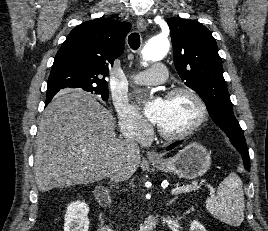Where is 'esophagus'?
<instances>
[{"label": "esophagus", "instance_id": "esophagus-1", "mask_svg": "<svg viewBox=\"0 0 268 231\" xmlns=\"http://www.w3.org/2000/svg\"><path fill=\"white\" fill-rule=\"evenodd\" d=\"M146 27H147V23H146L145 19L141 16L138 17L137 28L140 31H143L146 29ZM147 158L149 160H155V161L160 160V156L155 151H152V150L147 152Z\"/></svg>", "mask_w": 268, "mask_h": 231}]
</instances>
